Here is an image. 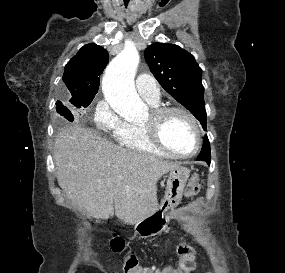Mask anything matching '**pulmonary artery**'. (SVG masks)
Listing matches in <instances>:
<instances>
[{"label":"pulmonary artery","instance_id":"1","mask_svg":"<svg viewBox=\"0 0 285 273\" xmlns=\"http://www.w3.org/2000/svg\"><path fill=\"white\" fill-rule=\"evenodd\" d=\"M135 85L138 93L150 104H157L160 100V88L155 79L147 74L140 73L136 77Z\"/></svg>","mask_w":285,"mask_h":273}]
</instances>
